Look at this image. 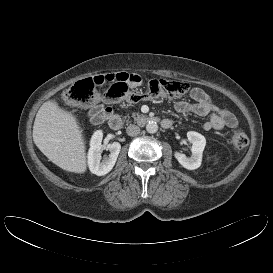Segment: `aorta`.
I'll use <instances>...</instances> for the list:
<instances>
[{"label": "aorta", "instance_id": "1", "mask_svg": "<svg viewBox=\"0 0 273 273\" xmlns=\"http://www.w3.org/2000/svg\"><path fill=\"white\" fill-rule=\"evenodd\" d=\"M146 130L148 133H156L158 131V125L156 122L154 121H149L147 124H146Z\"/></svg>", "mask_w": 273, "mask_h": 273}]
</instances>
